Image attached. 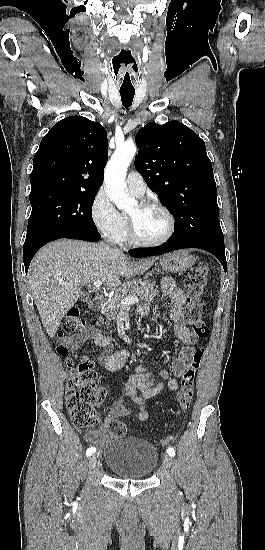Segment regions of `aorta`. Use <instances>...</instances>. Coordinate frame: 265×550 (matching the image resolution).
<instances>
[{
    "label": "aorta",
    "mask_w": 265,
    "mask_h": 550,
    "mask_svg": "<svg viewBox=\"0 0 265 550\" xmlns=\"http://www.w3.org/2000/svg\"><path fill=\"white\" fill-rule=\"evenodd\" d=\"M137 152L134 143H124L116 147L104 174V183L109 199L120 210L132 208L136 200L126 192V172Z\"/></svg>",
    "instance_id": "762f6f07"
}]
</instances>
